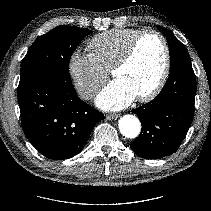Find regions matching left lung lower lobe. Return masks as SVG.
<instances>
[{"instance_id": "left-lung-lower-lobe-1", "label": "left lung lower lobe", "mask_w": 211, "mask_h": 211, "mask_svg": "<svg viewBox=\"0 0 211 211\" xmlns=\"http://www.w3.org/2000/svg\"><path fill=\"white\" fill-rule=\"evenodd\" d=\"M170 71L159 95L134 109L142 129L130 147L145 159L161 158L174 153L193 121L196 77L191 62H182Z\"/></svg>"}]
</instances>
